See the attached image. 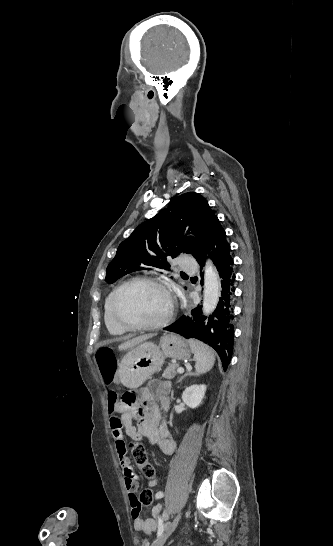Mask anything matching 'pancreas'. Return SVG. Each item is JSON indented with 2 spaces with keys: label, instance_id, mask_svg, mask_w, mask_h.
Wrapping results in <instances>:
<instances>
[{
  "label": "pancreas",
  "instance_id": "1",
  "mask_svg": "<svg viewBox=\"0 0 333 546\" xmlns=\"http://www.w3.org/2000/svg\"><path fill=\"white\" fill-rule=\"evenodd\" d=\"M178 365L175 364V363H169L168 366L166 367V369L164 370L163 372V377L165 378H168V379H172L176 376V369H177Z\"/></svg>",
  "mask_w": 333,
  "mask_h": 546
}]
</instances>
